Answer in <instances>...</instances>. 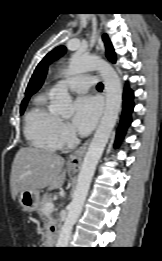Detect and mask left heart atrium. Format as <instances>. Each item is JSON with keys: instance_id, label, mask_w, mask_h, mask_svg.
<instances>
[{"instance_id": "1", "label": "left heart atrium", "mask_w": 162, "mask_h": 261, "mask_svg": "<svg viewBox=\"0 0 162 261\" xmlns=\"http://www.w3.org/2000/svg\"><path fill=\"white\" fill-rule=\"evenodd\" d=\"M99 114V101L92 96H81L74 103L73 127L80 134H87L95 126Z\"/></svg>"}]
</instances>
